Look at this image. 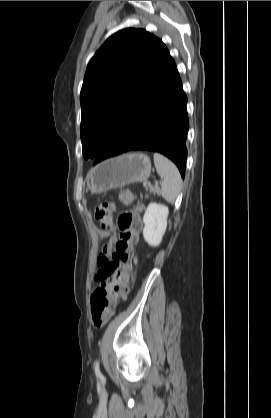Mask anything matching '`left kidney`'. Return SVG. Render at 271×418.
I'll list each match as a JSON object with an SVG mask.
<instances>
[{"mask_svg": "<svg viewBox=\"0 0 271 418\" xmlns=\"http://www.w3.org/2000/svg\"><path fill=\"white\" fill-rule=\"evenodd\" d=\"M169 209L165 205L150 203L143 216V237L150 246L160 245L167 228Z\"/></svg>", "mask_w": 271, "mask_h": 418, "instance_id": "1", "label": "left kidney"}]
</instances>
